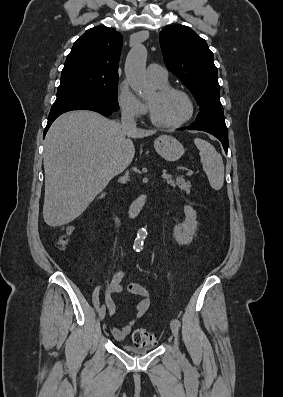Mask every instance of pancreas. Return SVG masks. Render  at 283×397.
<instances>
[{
    "instance_id": "obj_1",
    "label": "pancreas",
    "mask_w": 283,
    "mask_h": 397,
    "mask_svg": "<svg viewBox=\"0 0 283 397\" xmlns=\"http://www.w3.org/2000/svg\"><path fill=\"white\" fill-rule=\"evenodd\" d=\"M167 184L172 186V187H176L178 186V188L181 191L186 192L187 194L190 193L191 191V185L189 181H186L184 178L182 177H177L176 179H167L166 180Z\"/></svg>"
}]
</instances>
